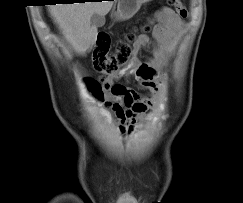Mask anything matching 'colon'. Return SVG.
I'll use <instances>...</instances> for the list:
<instances>
[{
  "instance_id": "1",
  "label": "colon",
  "mask_w": 243,
  "mask_h": 203,
  "mask_svg": "<svg viewBox=\"0 0 243 203\" xmlns=\"http://www.w3.org/2000/svg\"><path fill=\"white\" fill-rule=\"evenodd\" d=\"M167 3L175 9L179 17L186 18L188 16V11L181 0H167ZM140 31L142 33H149L151 26L143 25ZM136 36V31L128 33L124 41L119 43L115 51L111 52L109 36L105 33L99 34L93 51L95 70L107 74H116L126 69L131 62L132 48L130 43ZM85 83L96 97L102 96L104 88L98 80L86 78Z\"/></svg>"
}]
</instances>
